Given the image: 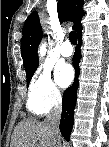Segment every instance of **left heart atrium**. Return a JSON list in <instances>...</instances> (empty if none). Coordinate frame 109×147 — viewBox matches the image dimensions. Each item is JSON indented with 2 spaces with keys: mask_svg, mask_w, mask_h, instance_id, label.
I'll use <instances>...</instances> for the list:
<instances>
[{
  "mask_svg": "<svg viewBox=\"0 0 109 147\" xmlns=\"http://www.w3.org/2000/svg\"><path fill=\"white\" fill-rule=\"evenodd\" d=\"M73 69L67 64L58 65L55 70V78L59 85L67 86L73 80Z\"/></svg>",
  "mask_w": 109,
  "mask_h": 147,
  "instance_id": "1",
  "label": "left heart atrium"
}]
</instances>
